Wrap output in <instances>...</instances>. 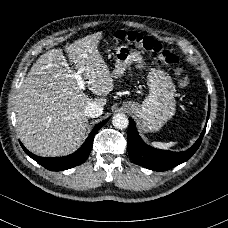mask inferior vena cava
<instances>
[{
    "label": "inferior vena cava",
    "mask_w": 228,
    "mask_h": 228,
    "mask_svg": "<svg viewBox=\"0 0 228 228\" xmlns=\"http://www.w3.org/2000/svg\"><path fill=\"white\" fill-rule=\"evenodd\" d=\"M102 113L103 107L97 104V102L88 103L84 110V114L92 118L99 117L100 115H102Z\"/></svg>",
    "instance_id": "obj_1"
}]
</instances>
